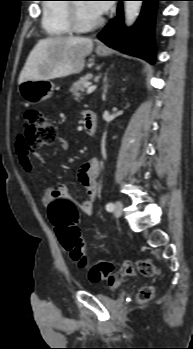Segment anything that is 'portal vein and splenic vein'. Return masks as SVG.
<instances>
[{
  "label": "portal vein and splenic vein",
  "mask_w": 193,
  "mask_h": 349,
  "mask_svg": "<svg viewBox=\"0 0 193 349\" xmlns=\"http://www.w3.org/2000/svg\"><path fill=\"white\" fill-rule=\"evenodd\" d=\"M97 86L96 85H92L90 87H88L87 89V94H91L96 90Z\"/></svg>",
  "instance_id": "18ae733b"
}]
</instances>
